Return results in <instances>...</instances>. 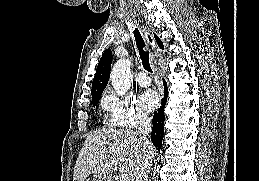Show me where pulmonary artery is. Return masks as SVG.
I'll list each match as a JSON object with an SVG mask.
<instances>
[{
    "instance_id": "e3ab8cb5",
    "label": "pulmonary artery",
    "mask_w": 259,
    "mask_h": 181,
    "mask_svg": "<svg viewBox=\"0 0 259 181\" xmlns=\"http://www.w3.org/2000/svg\"><path fill=\"white\" fill-rule=\"evenodd\" d=\"M136 81L142 87L149 86L151 83L150 78L145 71H140L137 74Z\"/></svg>"
}]
</instances>
